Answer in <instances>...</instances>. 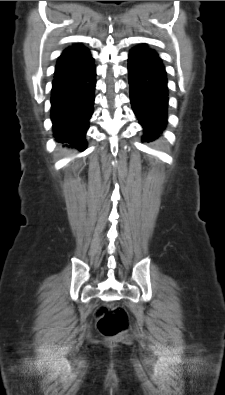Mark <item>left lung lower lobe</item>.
Here are the masks:
<instances>
[{"label":"left lung lower lobe","mask_w":225,"mask_h":395,"mask_svg":"<svg viewBox=\"0 0 225 395\" xmlns=\"http://www.w3.org/2000/svg\"><path fill=\"white\" fill-rule=\"evenodd\" d=\"M129 93L132 109L143 127V140L161 136L167 123L168 79L160 58L138 57L131 51L128 58Z\"/></svg>","instance_id":"left-lung-lower-lobe-1"}]
</instances>
